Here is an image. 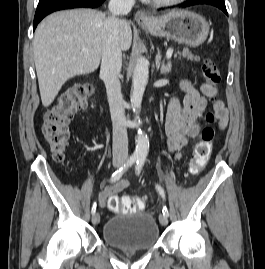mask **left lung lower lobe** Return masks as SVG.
Masks as SVG:
<instances>
[{
  "instance_id": "1",
  "label": "left lung lower lobe",
  "mask_w": 265,
  "mask_h": 269,
  "mask_svg": "<svg viewBox=\"0 0 265 269\" xmlns=\"http://www.w3.org/2000/svg\"><path fill=\"white\" fill-rule=\"evenodd\" d=\"M198 4L212 5L221 9L225 14H228L224 0H189L184 5H182V7H188V6L198 5Z\"/></svg>"
}]
</instances>
